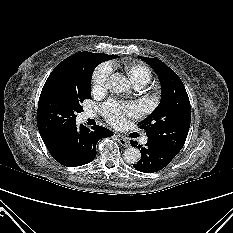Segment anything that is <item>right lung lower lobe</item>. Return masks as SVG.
Masks as SVG:
<instances>
[{
    "mask_svg": "<svg viewBox=\"0 0 233 233\" xmlns=\"http://www.w3.org/2000/svg\"><path fill=\"white\" fill-rule=\"evenodd\" d=\"M112 135L110 130L101 126H93L90 130L75 124L66 135L45 144L57 162L67 167H76L93 161L98 140Z\"/></svg>",
    "mask_w": 233,
    "mask_h": 233,
    "instance_id": "98d812e1",
    "label": "right lung lower lobe"
}]
</instances>
